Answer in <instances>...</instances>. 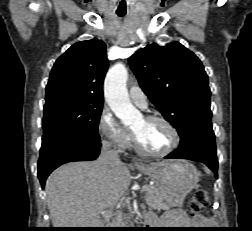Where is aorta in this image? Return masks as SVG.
<instances>
[{
  "label": "aorta",
  "mask_w": 252,
  "mask_h": 231,
  "mask_svg": "<svg viewBox=\"0 0 252 231\" xmlns=\"http://www.w3.org/2000/svg\"><path fill=\"white\" fill-rule=\"evenodd\" d=\"M128 71L124 64H115L107 73L104 83L105 99L123 124H131L139 116L128 97L126 83Z\"/></svg>",
  "instance_id": "1"
}]
</instances>
